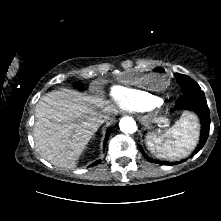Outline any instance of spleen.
I'll list each match as a JSON object with an SVG mask.
<instances>
[{
    "label": "spleen",
    "mask_w": 221,
    "mask_h": 221,
    "mask_svg": "<svg viewBox=\"0 0 221 221\" xmlns=\"http://www.w3.org/2000/svg\"><path fill=\"white\" fill-rule=\"evenodd\" d=\"M198 137V120L186 111L162 136L147 135L146 145L156 157L175 160L187 156L195 148Z\"/></svg>",
    "instance_id": "obj_1"
}]
</instances>
